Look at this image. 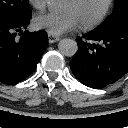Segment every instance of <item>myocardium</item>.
<instances>
[{"label":"myocardium","instance_id":"f54148a6","mask_svg":"<svg viewBox=\"0 0 128 128\" xmlns=\"http://www.w3.org/2000/svg\"><path fill=\"white\" fill-rule=\"evenodd\" d=\"M74 1H78V0H74ZM113 5H114V0H106V3L104 5L103 9L101 10V12L92 20H89L86 22H81V26L84 29H90V28L98 26L107 17V15L109 14Z\"/></svg>","mask_w":128,"mask_h":128}]
</instances>
